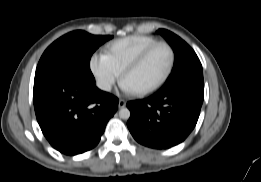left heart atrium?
Wrapping results in <instances>:
<instances>
[{
  "mask_svg": "<svg viewBox=\"0 0 261 182\" xmlns=\"http://www.w3.org/2000/svg\"><path fill=\"white\" fill-rule=\"evenodd\" d=\"M123 89H124L126 92H133V90H132L126 83H124Z\"/></svg>",
  "mask_w": 261,
  "mask_h": 182,
  "instance_id": "39dd6f15",
  "label": "left heart atrium"
}]
</instances>
